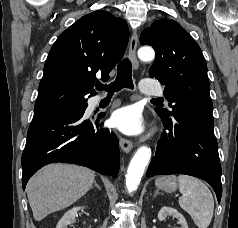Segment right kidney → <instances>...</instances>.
I'll list each match as a JSON object with an SVG mask.
<instances>
[{
	"instance_id": "ca27d5eb",
	"label": "right kidney",
	"mask_w": 238,
	"mask_h": 228,
	"mask_svg": "<svg viewBox=\"0 0 238 228\" xmlns=\"http://www.w3.org/2000/svg\"><path fill=\"white\" fill-rule=\"evenodd\" d=\"M80 209L82 210L83 207H74L67 211L58 222L56 228H67L68 225L74 223L77 216V211H79Z\"/></svg>"
}]
</instances>
